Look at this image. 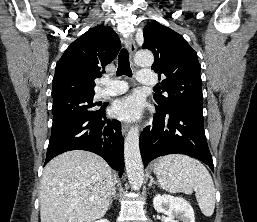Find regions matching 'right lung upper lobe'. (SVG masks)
<instances>
[{
    "label": "right lung upper lobe",
    "mask_w": 257,
    "mask_h": 222,
    "mask_svg": "<svg viewBox=\"0 0 257 222\" xmlns=\"http://www.w3.org/2000/svg\"><path fill=\"white\" fill-rule=\"evenodd\" d=\"M120 40L110 27L89 29L72 42L58 61L53 78V101L94 95L101 68L118 54Z\"/></svg>",
    "instance_id": "right-lung-upper-lobe-1"
}]
</instances>
